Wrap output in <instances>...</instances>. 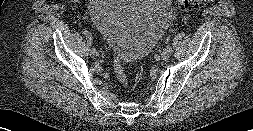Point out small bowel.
Listing matches in <instances>:
<instances>
[{"instance_id": "1", "label": "small bowel", "mask_w": 253, "mask_h": 131, "mask_svg": "<svg viewBox=\"0 0 253 131\" xmlns=\"http://www.w3.org/2000/svg\"><path fill=\"white\" fill-rule=\"evenodd\" d=\"M73 2H78V1H80V0H72Z\"/></svg>"}]
</instances>
